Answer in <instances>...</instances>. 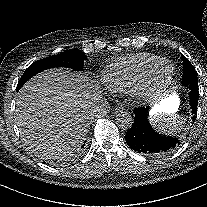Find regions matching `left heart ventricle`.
I'll return each mask as SVG.
<instances>
[{
    "instance_id": "left-heart-ventricle-1",
    "label": "left heart ventricle",
    "mask_w": 207,
    "mask_h": 207,
    "mask_svg": "<svg viewBox=\"0 0 207 207\" xmlns=\"http://www.w3.org/2000/svg\"><path fill=\"white\" fill-rule=\"evenodd\" d=\"M172 73V66L169 63L162 64L151 76L152 83L155 87L165 85Z\"/></svg>"
}]
</instances>
